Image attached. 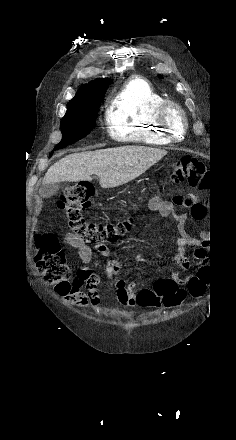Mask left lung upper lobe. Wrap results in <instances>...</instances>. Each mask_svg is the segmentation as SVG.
I'll return each mask as SVG.
<instances>
[{
	"label": "left lung upper lobe",
	"mask_w": 236,
	"mask_h": 440,
	"mask_svg": "<svg viewBox=\"0 0 236 440\" xmlns=\"http://www.w3.org/2000/svg\"><path fill=\"white\" fill-rule=\"evenodd\" d=\"M159 78H163L161 75H159Z\"/></svg>",
	"instance_id": "1"
}]
</instances>
